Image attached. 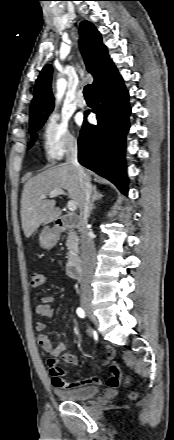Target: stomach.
I'll return each instance as SVG.
<instances>
[{"mask_svg": "<svg viewBox=\"0 0 174 440\" xmlns=\"http://www.w3.org/2000/svg\"><path fill=\"white\" fill-rule=\"evenodd\" d=\"M60 239V233L56 228L45 227L39 235L40 246L44 249L53 248Z\"/></svg>", "mask_w": 174, "mask_h": 440, "instance_id": "1", "label": "stomach"}]
</instances>
